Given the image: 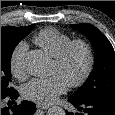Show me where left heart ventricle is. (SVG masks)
Listing matches in <instances>:
<instances>
[{"label": "left heart ventricle", "instance_id": "1", "mask_svg": "<svg viewBox=\"0 0 115 115\" xmlns=\"http://www.w3.org/2000/svg\"><path fill=\"white\" fill-rule=\"evenodd\" d=\"M86 67V54L82 48H76L71 53L66 65L58 68L54 63L51 75L60 76L66 83L79 78Z\"/></svg>", "mask_w": 115, "mask_h": 115}]
</instances>
